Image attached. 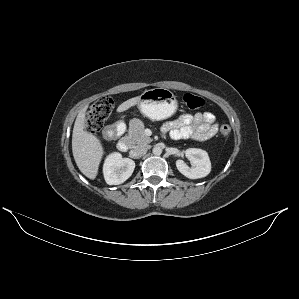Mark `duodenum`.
Masks as SVG:
<instances>
[{
	"mask_svg": "<svg viewBox=\"0 0 299 299\" xmlns=\"http://www.w3.org/2000/svg\"><path fill=\"white\" fill-rule=\"evenodd\" d=\"M125 131V126L122 123H115L112 124L110 126H108L105 131H104V135L106 138H114V137H118L121 136ZM117 148L118 150L122 151V152H126L129 149V143L127 141V139L120 137L117 140Z\"/></svg>",
	"mask_w": 299,
	"mask_h": 299,
	"instance_id": "duodenum-1",
	"label": "duodenum"
}]
</instances>
